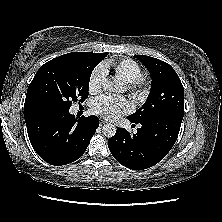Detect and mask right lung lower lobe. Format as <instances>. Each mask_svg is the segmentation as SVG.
<instances>
[{"mask_svg": "<svg viewBox=\"0 0 222 222\" xmlns=\"http://www.w3.org/2000/svg\"><path fill=\"white\" fill-rule=\"evenodd\" d=\"M25 122L36 153L55 166L69 164L81 157L99 126L96 116L78 119L69 110L36 113Z\"/></svg>", "mask_w": 222, "mask_h": 222, "instance_id": "obj_1", "label": "right lung lower lobe"}]
</instances>
